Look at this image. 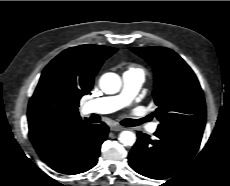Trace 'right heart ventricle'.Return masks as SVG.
<instances>
[{
  "instance_id": "1",
  "label": "right heart ventricle",
  "mask_w": 230,
  "mask_h": 186,
  "mask_svg": "<svg viewBox=\"0 0 230 186\" xmlns=\"http://www.w3.org/2000/svg\"><path fill=\"white\" fill-rule=\"evenodd\" d=\"M130 70L131 71H141V72H143V69L138 67V66H136V65L130 66Z\"/></svg>"
}]
</instances>
